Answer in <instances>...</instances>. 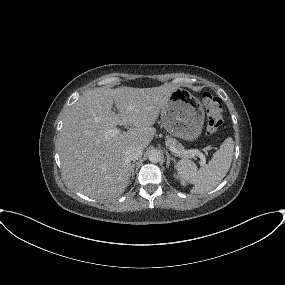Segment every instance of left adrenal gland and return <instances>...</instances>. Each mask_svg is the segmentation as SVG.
<instances>
[{"instance_id": "1", "label": "left adrenal gland", "mask_w": 285, "mask_h": 285, "mask_svg": "<svg viewBox=\"0 0 285 285\" xmlns=\"http://www.w3.org/2000/svg\"><path fill=\"white\" fill-rule=\"evenodd\" d=\"M166 158H167V160H166L167 168H169L170 161H174L175 162V159L172 158L167 151H166Z\"/></svg>"}]
</instances>
